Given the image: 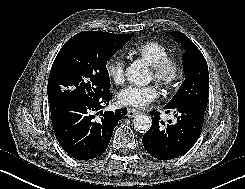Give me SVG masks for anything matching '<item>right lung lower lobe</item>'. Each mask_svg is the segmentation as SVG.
Masks as SVG:
<instances>
[{
    "label": "right lung lower lobe",
    "instance_id": "98d812e1",
    "mask_svg": "<svg viewBox=\"0 0 245 189\" xmlns=\"http://www.w3.org/2000/svg\"><path fill=\"white\" fill-rule=\"evenodd\" d=\"M111 98L109 89H101L91 97L50 104L56 139L71 157L89 160L105 152L114 127L127 113V109L103 113Z\"/></svg>",
    "mask_w": 245,
    "mask_h": 189
}]
</instances>
